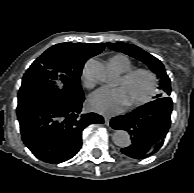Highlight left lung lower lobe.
<instances>
[{"instance_id": "obj_1", "label": "left lung lower lobe", "mask_w": 194, "mask_h": 193, "mask_svg": "<svg viewBox=\"0 0 194 193\" xmlns=\"http://www.w3.org/2000/svg\"><path fill=\"white\" fill-rule=\"evenodd\" d=\"M172 100L158 98L134 111L112 118L110 125L131 135L132 144L121 149L135 159L146 158L159 150L171 124Z\"/></svg>"}]
</instances>
